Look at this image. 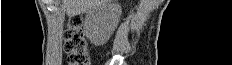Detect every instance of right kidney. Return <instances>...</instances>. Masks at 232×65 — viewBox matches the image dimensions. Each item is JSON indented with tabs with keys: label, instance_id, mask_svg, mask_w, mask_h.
Returning <instances> with one entry per match:
<instances>
[{
	"label": "right kidney",
	"instance_id": "ca27d5eb",
	"mask_svg": "<svg viewBox=\"0 0 232 65\" xmlns=\"http://www.w3.org/2000/svg\"><path fill=\"white\" fill-rule=\"evenodd\" d=\"M121 14V6L112 1H104L93 7L87 13L84 21L86 37L95 46L105 44L117 27Z\"/></svg>",
	"mask_w": 232,
	"mask_h": 65
}]
</instances>
